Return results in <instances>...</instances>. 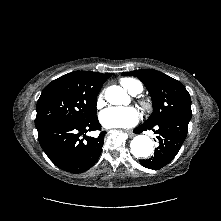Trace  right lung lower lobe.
I'll use <instances>...</instances> for the list:
<instances>
[{"mask_svg": "<svg viewBox=\"0 0 221 221\" xmlns=\"http://www.w3.org/2000/svg\"><path fill=\"white\" fill-rule=\"evenodd\" d=\"M100 129L97 117L84 123H55L38 130V139L48 158L57 167L78 174L96 163L105 135V131H102L97 138H93L84 133Z\"/></svg>", "mask_w": 221, "mask_h": 221, "instance_id": "right-lung-lower-lobe-1", "label": "right lung lower lobe"}]
</instances>
